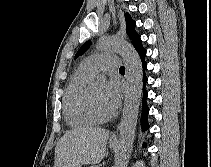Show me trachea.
<instances>
[{
    "label": "trachea",
    "instance_id": "3493384b",
    "mask_svg": "<svg viewBox=\"0 0 211 167\" xmlns=\"http://www.w3.org/2000/svg\"><path fill=\"white\" fill-rule=\"evenodd\" d=\"M119 71H125V67H124V66H121V67L119 68Z\"/></svg>",
    "mask_w": 211,
    "mask_h": 167
}]
</instances>
